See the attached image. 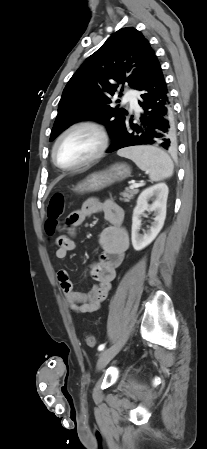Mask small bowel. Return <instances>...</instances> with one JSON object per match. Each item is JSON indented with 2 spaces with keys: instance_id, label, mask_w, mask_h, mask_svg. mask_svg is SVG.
Returning <instances> with one entry per match:
<instances>
[{
  "instance_id": "c3829d8e",
  "label": "small bowel",
  "mask_w": 207,
  "mask_h": 449,
  "mask_svg": "<svg viewBox=\"0 0 207 449\" xmlns=\"http://www.w3.org/2000/svg\"><path fill=\"white\" fill-rule=\"evenodd\" d=\"M99 213L104 216L108 226L99 237V245L102 249L99 259L89 268L90 275L97 281V284L89 293H81L74 289L67 270L60 269L57 272V280L66 302L69 308L77 314L98 310L112 288L116 270L123 262L129 246L128 234L123 225L124 211L111 200L102 202L97 199H89L62 223V233L56 239L55 256L60 260L65 259L67 253L75 249L77 228L88 216Z\"/></svg>"
}]
</instances>
